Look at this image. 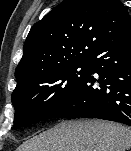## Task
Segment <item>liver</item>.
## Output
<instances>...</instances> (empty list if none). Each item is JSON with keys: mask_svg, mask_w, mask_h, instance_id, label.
Returning a JSON list of instances; mask_svg holds the SVG:
<instances>
[{"mask_svg": "<svg viewBox=\"0 0 131 151\" xmlns=\"http://www.w3.org/2000/svg\"><path fill=\"white\" fill-rule=\"evenodd\" d=\"M131 130L100 120L64 121L24 142L17 151H126Z\"/></svg>", "mask_w": 131, "mask_h": 151, "instance_id": "obj_1", "label": "liver"}]
</instances>
